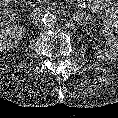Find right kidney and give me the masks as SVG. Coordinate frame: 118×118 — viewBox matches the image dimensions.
<instances>
[{"instance_id": "1", "label": "right kidney", "mask_w": 118, "mask_h": 118, "mask_svg": "<svg viewBox=\"0 0 118 118\" xmlns=\"http://www.w3.org/2000/svg\"><path fill=\"white\" fill-rule=\"evenodd\" d=\"M24 28L22 26L6 27L0 31V51L9 50L24 36Z\"/></svg>"}]
</instances>
